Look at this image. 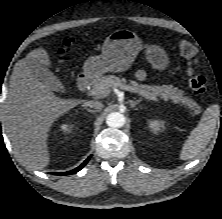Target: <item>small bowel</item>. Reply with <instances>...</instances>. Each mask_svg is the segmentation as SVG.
<instances>
[{"label":"small bowel","mask_w":222,"mask_h":219,"mask_svg":"<svg viewBox=\"0 0 222 219\" xmlns=\"http://www.w3.org/2000/svg\"><path fill=\"white\" fill-rule=\"evenodd\" d=\"M135 77L137 80L143 81L146 78V72L144 70H138Z\"/></svg>","instance_id":"c3829d8e"}]
</instances>
